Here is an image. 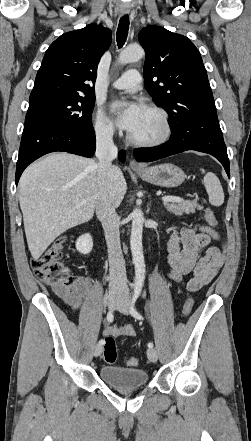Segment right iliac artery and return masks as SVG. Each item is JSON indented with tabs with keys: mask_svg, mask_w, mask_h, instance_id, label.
<instances>
[{
	"mask_svg": "<svg viewBox=\"0 0 251 441\" xmlns=\"http://www.w3.org/2000/svg\"><path fill=\"white\" fill-rule=\"evenodd\" d=\"M113 318H114V315H113V308H112V309H110L109 312L107 313V320H108V322H112V321H113ZM99 344H100V345H103V344H104V340H103V339L99 340Z\"/></svg>",
	"mask_w": 251,
	"mask_h": 441,
	"instance_id": "obj_1",
	"label": "right iliac artery"
}]
</instances>
